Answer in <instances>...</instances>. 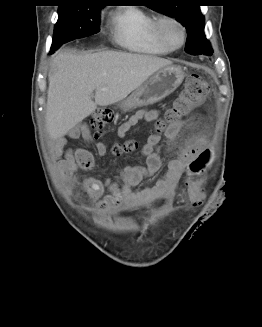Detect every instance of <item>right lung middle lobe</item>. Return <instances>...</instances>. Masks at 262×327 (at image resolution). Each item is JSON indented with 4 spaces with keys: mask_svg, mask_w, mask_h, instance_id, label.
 I'll return each instance as SVG.
<instances>
[{
    "mask_svg": "<svg viewBox=\"0 0 262 327\" xmlns=\"http://www.w3.org/2000/svg\"><path fill=\"white\" fill-rule=\"evenodd\" d=\"M101 8L102 6L94 2H73L60 5L50 53L65 42L97 33L100 30Z\"/></svg>",
    "mask_w": 262,
    "mask_h": 327,
    "instance_id": "dd1d6c3e",
    "label": "right lung middle lobe"
}]
</instances>
